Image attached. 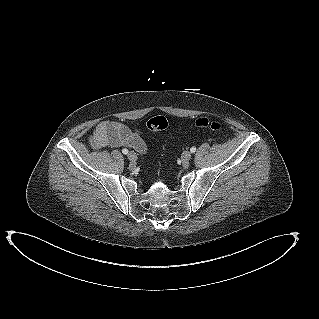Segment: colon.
Listing matches in <instances>:
<instances>
[{"mask_svg":"<svg viewBox=\"0 0 319 319\" xmlns=\"http://www.w3.org/2000/svg\"><path fill=\"white\" fill-rule=\"evenodd\" d=\"M194 125L199 128H208L212 131H220L222 129L220 122L208 118H198L195 120ZM167 126L168 120L164 116H155L147 121V127L152 131L164 130Z\"/></svg>","mask_w":319,"mask_h":319,"instance_id":"obj_1","label":"colon"}]
</instances>
